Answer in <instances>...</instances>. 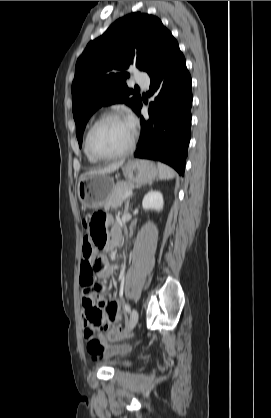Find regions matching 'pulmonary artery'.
Segmentation results:
<instances>
[{
  "label": "pulmonary artery",
  "mask_w": 271,
  "mask_h": 418,
  "mask_svg": "<svg viewBox=\"0 0 271 418\" xmlns=\"http://www.w3.org/2000/svg\"><path fill=\"white\" fill-rule=\"evenodd\" d=\"M136 82L144 87H147L149 85L150 79L145 74H139L136 76Z\"/></svg>",
  "instance_id": "e3ab8cb5"
}]
</instances>
